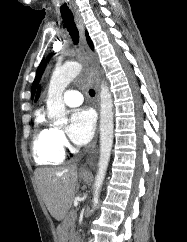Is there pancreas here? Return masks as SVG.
<instances>
[{
	"label": "pancreas",
	"instance_id": "1",
	"mask_svg": "<svg viewBox=\"0 0 187 242\" xmlns=\"http://www.w3.org/2000/svg\"><path fill=\"white\" fill-rule=\"evenodd\" d=\"M77 214L75 210H71L64 220L65 227L69 228L71 232L74 231L75 228V220H76Z\"/></svg>",
	"mask_w": 187,
	"mask_h": 242
}]
</instances>
